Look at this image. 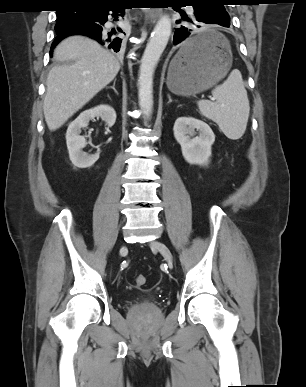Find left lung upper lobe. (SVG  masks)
<instances>
[{
	"label": "left lung upper lobe",
	"instance_id": "1",
	"mask_svg": "<svg viewBox=\"0 0 306 387\" xmlns=\"http://www.w3.org/2000/svg\"><path fill=\"white\" fill-rule=\"evenodd\" d=\"M184 2L200 3L206 2L213 6L218 17L224 20H230L228 13L224 8L225 0H184Z\"/></svg>",
	"mask_w": 306,
	"mask_h": 387
}]
</instances>
